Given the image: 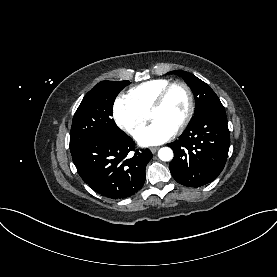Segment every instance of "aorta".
Returning a JSON list of instances; mask_svg holds the SVG:
<instances>
[{"label": "aorta", "instance_id": "aorta-1", "mask_svg": "<svg viewBox=\"0 0 277 277\" xmlns=\"http://www.w3.org/2000/svg\"><path fill=\"white\" fill-rule=\"evenodd\" d=\"M158 157L162 161H170L173 158V151L169 147H163L159 150Z\"/></svg>", "mask_w": 277, "mask_h": 277}]
</instances>
